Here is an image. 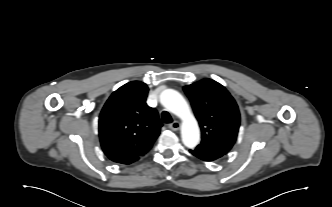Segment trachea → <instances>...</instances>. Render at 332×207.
I'll return each mask as SVG.
<instances>
[{"instance_id": "obj_1", "label": "trachea", "mask_w": 332, "mask_h": 207, "mask_svg": "<svg viewBox=\"0 0 332 207\" xmlns=\"http://www.w3.org/2000/svg\"><path fill=\"white\" fill-rule=\"evenodd\" d=\"M162 121L164 123H171L173 120H172V117L170 116V114L166 111H163L162 112Z\"/></svg>"}]
</instances>
